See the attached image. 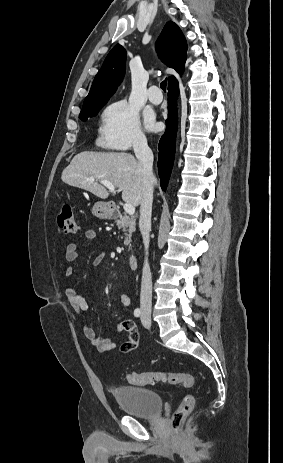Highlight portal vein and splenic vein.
Masks as SVG:
<instances>
[{
  "instance_id": "18ae733b",
  "label": "portal vein and splenic vein",
  "mask_w": 283,
  "mask_h": 463,
  "mask_svg": "<svg viewBox=\"0 0 283 463\" xmlns=\"http://www.w3.org/2000/svg\"><path fill=\"white\" fill-rule=\"evenodd\" d=\"M92 180L94 181V178H92ZM99 182L102 185H104L110 192L116 193L115 187L111 182H109L107 180H99ZM123 208H124L125 212L127 214H129V215H133L135 213V207L130 203H125Z\"/></svg>"
}]
</instances>
